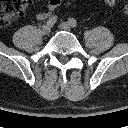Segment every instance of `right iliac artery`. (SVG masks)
Returning a JSON list of instances; mask_svg holds the SVG:
<instances>
[{
	"label": "right iliac artery",
	"mask_w": 128,
	"mask_h": 128,
	"mask_svg": "<svg viewBox=\"0 0 128 128\" xmlns=\"http://www.w3.org/2000/svg\"><path fill=\"white\" fill-rule=\"evenodd\" d=\"M57 21V16H51L48 20H47V25H49L50 27H52Z\"/></svg>",
	"instance_id": "1"
}]
</instances>
